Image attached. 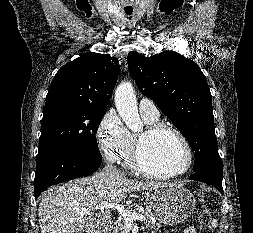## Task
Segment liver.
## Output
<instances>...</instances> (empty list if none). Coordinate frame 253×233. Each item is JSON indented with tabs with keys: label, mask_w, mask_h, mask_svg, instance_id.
<instances>
[{
	"label": "liver",
	"mask_w": 253,
	"mask_h": 233,
	"mask_svg": "<svg viewBox=\"0 0 253 233\" xmlns=\"http://www.w3.org/2000/svg\"><path fill=\"white\" fill-rule=\"evenodd\" d=\"M165 184L129 180L120 173L102 171L51 187L43 193L38 207L41 233H83L87 214L78 211L92 209L103 201L117 204L126 198L128 192Z\"/></svg>",
	"instance_id": "1"
}]
</instances>
